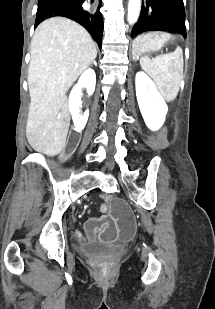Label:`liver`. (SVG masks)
<instances>
[{"label":"liver","mask_w":215,"mask_h":309,"mask_svg":"<svg viewBox=\"0 0 215 309\" xmlns=\"http://www.w3.org/2000/svg\"><path fill=\"white\" fill-rule=\"evenodd\" d=\"M96 56V42L78 22L52 16L37 26L27 78L26 136L34 150L56 157L65 148L70 124L66 92Z\"/></svg>","instance_id":"1"}]
</instances>
